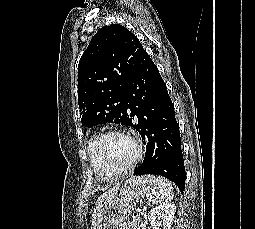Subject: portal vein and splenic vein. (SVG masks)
Masks as SVG:
<instances>
[{"instance_id":"portal-vein-and-splenic-vein-1","label":"portal vein and splenic vein","mask_w":255,"mask_h":229,"mask_svg":"<svg viewBox=\"0 0 255 229\" xmlns=\"http://www.w3.org/2000/svg\"><path fill=\"white\" fill-rule=\"evenodd\" d=\"M140 211H141L140 209H137V213H140Z\"/></svg>"}]
</instances>
